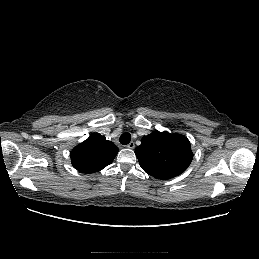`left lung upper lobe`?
<instances>
[{
    "label": "left lung upper lobe",
    "mask_w": 259,
    "mask_h": 259,
    "mask_svg": "<svg viewBox=\"0 0 259 259\" xmlns=\"http://www.w3.org/2000/svg\"><path fill=\"white\" fill-rule=\"evenodd\" d=\"M135 154L144 171L158 179L180 175L193 158L187 137L157 130L142 138Z\"/></svg>",
    "instance_id": "left-lung-upper-lobe-1"
}]
</instances>
